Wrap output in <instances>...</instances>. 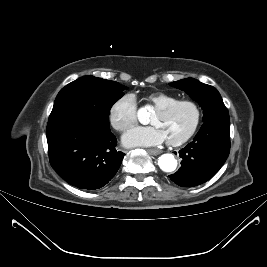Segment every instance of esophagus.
<instances>
[{
    "mask_svg": "<svg viewBox=\"0 0 267 267\" xmlns=\"http://www.w3.org/2000/svg\"><path fill=\"white\" fill-rule=\"evenodd\" d=\"M147 151L151 155H159L161 153V150H159V149H147Z\"/></svg>",
    "mask_w": 267,
    "mask_h": 267,
    "instance_id": "obj_1",
    "label": "esophagus"
}]
</instances>
